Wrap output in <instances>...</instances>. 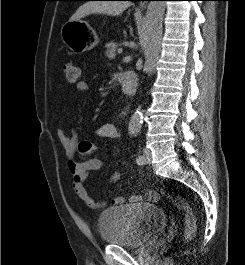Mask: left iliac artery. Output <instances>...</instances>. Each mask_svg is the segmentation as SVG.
<instances>
[{
  "label": "left iliac artery",
  "mask_w": 245,
  "mask_h": 265,
  "mask_svg": "<svg viewBox=\"0 0 245 265\" xmlns=\"http://www.w3.org/2000/svg\"><path fill=\"white\" fill-rule=\"evenodd\" d=\"M136 162L138 164H143V156L139 155L137 158H136Z\"/></svg>",
  "instance_id": "44dca946"
}]
</instances>
